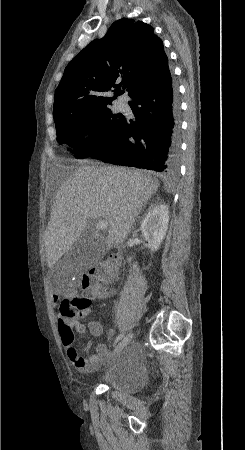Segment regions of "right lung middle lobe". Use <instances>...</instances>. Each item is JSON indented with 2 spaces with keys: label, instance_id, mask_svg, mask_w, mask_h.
<instances>
[{
  "label": "right lung middle lobe",
  "instance_id": "dd1d6c3e",
  "mask_svg": "<svg viewBox=\"0 0 245 450\" xmlns=\"http://www.w3.org/2000/svg\"><path fill=\"white\" fill-rule=\"evenodd\" d=\"M56 132L60 143L67 142L75 150V158L83 159L108 147L117 137L125 121L121 113L114 114L108 106L77 109L71 105L53 109ZM91 129V138L82 142L83 127Z\"/></svg>",
  "mask_w": 245,
  "mask_h": 450
}]
</instances>
